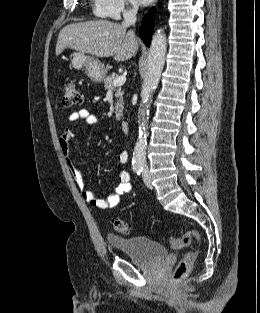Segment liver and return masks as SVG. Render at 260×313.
<instances>
[{"instance_id": "liver-1", "label": "liver", "mask_w": 260, "mask_h": 313, "mask_svg": "<svg viewBox=\"0 0 260 313\" xmlns=\"http://www.w3.org/2000/svg\"><path fill=\"white\" fill-rule=\"evenodd\" d=\"M66 48L125 61L136 55L138 41L134 31L127 32V27L122 24L94 20L65 26L58 35L56 56Z\"/></svg>"}]
</instances>
